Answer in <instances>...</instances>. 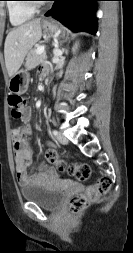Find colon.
I'll return each mask as SVG.
<instances>
[{"label":"colon","mask_w":133,"mask_h":253,"mask_svg":"<svg viewBox=\"0 0 133 253\" xmlns=\"http://www.w3.org/2000/svg\"><path fill=\"white\" fill-rule=\"evenodd\" d=\"M8 104L12 117L15 119H23L26 111L25 99L20 95L13 94L8 97ZM46 159L55 164L60 171H67L80 181H85L90 177L91 169L89 165L83 163L67 164L65 161L59 159L53 150H49L46 153ZM109 188L110 180L108 178L102 177L98 179L90 184L83 194L75 196L70 200L68 206L69 211L76 213L85 209L90 203L106 194Z\"/></svg>","instance_id":"colon-1"}]
</instances>
